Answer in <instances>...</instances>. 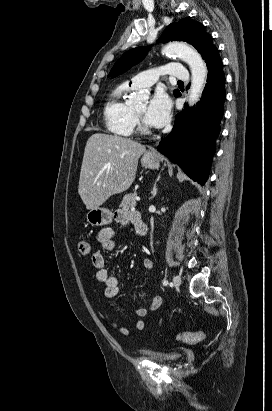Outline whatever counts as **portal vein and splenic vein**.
<instances>
[{
  "mask_svg": "<svg viewBox=\"0 0 272 411\" xmlns=\"http://www.w3.org/2000/svg\"><path fill=\"white\" fill-rule=\"evenodd\" d=\"M136 200H137V201H140V197H139V196H138V197H136Z\"/></svg>",
  "mask_w": 272,
  "mask_h": 411,
  "instance_id": "18ae733b",
  "label": "portal vein and splenic vein"
}]
</instances>
